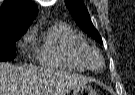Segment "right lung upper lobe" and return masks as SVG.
Here are the masks:
<instances>
[{
	"mask_svg": "<svg viewBox=\"0 0 135 95\" xmlns=\"http://www.w3.org/2000/svg\"><path fill=\"white\" fill-rule=\"evenodd\" d=\"M37 12V6L30 0H4L0 8V35L26 31Z\"/></svg>",
	"mask_w": 135,
	"mask_h": 95,
	"instance_id": "obj_1",
	"label": "right lung upper lobe"
}]
</instances>
